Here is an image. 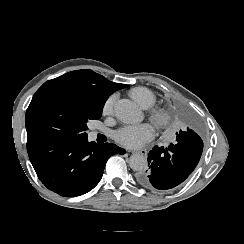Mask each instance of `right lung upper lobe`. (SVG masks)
<instances>
[{
    "instance_id": "obj_1",
    "label": "right lung upper lobe",
    "mask_w": 244,
    "mask_h": 244,
    "mask_svg": "<svg viewBox=\"0 0 244 244\" xmlns=\"http://www.w3.org/2000/svg\"><path fill=\"white\" fill-rule=\"evenodd\" d=\"M89 84L101 97L108 98L113 92L125 88V84L114 83L92 70L83 69L64 74Z\"/></svg>"
}]
</instances>
